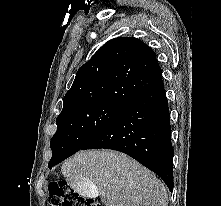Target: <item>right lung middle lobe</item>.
<instances>
[{
  "label": "right lung middle lobe",
  "mask_w": 221,
  "mask_h": 206,
  "mask_svg": "<svg viewBox=\"0 0 221 206\" xmlns=\"http://www.w3.org/2000/svg\"><path fill=\"white\" fill-rule=\"evenodd\" d=\"M124 107L94 103L61 112L56 119L57 131L51 139V169L82 149L90 140L111 123Z\"/></svg>",
  "instance_id": "1"
}]
</instances>
